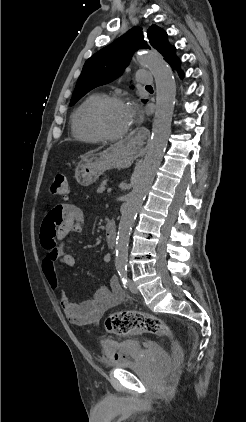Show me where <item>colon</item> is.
Segmentation results:
<instances>
[{
    "label": "colon",
    "mask_w": 246,
    "mask_h": 422,
    "mask_svg": "<svg viewBox=\"0 0 246 422\" xmlns=\"http://www.w3.org/2000/svg\"><path fill=\"white\" fill-rule=\"evenodd\" d=\"M69 193V183L65 175L58 174L50 186V194L55 197H66ZM105 329L113 334L149 333L173 339L171 329L159 317L139 312L120 311L111 314L105 321ZM173 353L176 360L181 357V350L173 343Z\"/></svg>",
    "instance_id": "colon-1"
}]
</instances>
